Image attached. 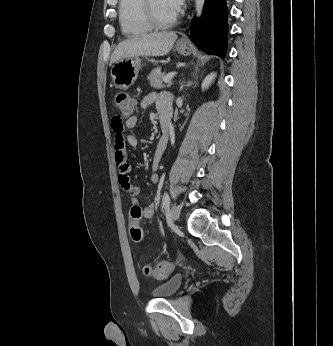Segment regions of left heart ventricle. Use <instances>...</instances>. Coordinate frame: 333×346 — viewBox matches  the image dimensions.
Listing matches in <instances>:
<instances>
[{
  "label": "left heart ventricle",
  "mask_w": 333,
  "mask_h": 346,
  "mask_svg": "<svg viewBox=\"0 0 333 346\" xmlns=\"http://www.w3.org/2000/svg\"><path fill=\"white\" fill-rule=\"evenodd\" d=\"M153 3H154L155 13L158 18L162 20H166L174 15L171 12V10L166 6V3L164 0H153Z\"/></svg>",
  "instance_id": "b2bd125f"
}]
</instances>
